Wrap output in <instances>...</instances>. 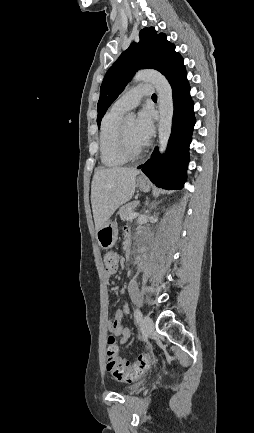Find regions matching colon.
<instances>
[{
  "mask_svg": "<svg viewBox=\"0 0 254 433\" xmlns=\"http://www.w3.org/2000/svg\"><path fill=\"white\" fill-rule=\"evenodd\" d=\"M118 253L113 250L103 254L104 269L107 274H114L118 266ZM107 371L118 381L131 382L141 377L150 365L147 354H141L134 362L118 357V346L115 337L110 335L107 341Z\"/></svg>",
  "mask_w": 254,
  "mask_h": 433,
  "instance_id": "5ec220e1",
  "label": "colon"
}]
</instances>
